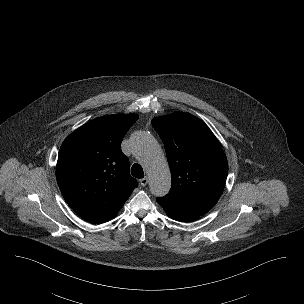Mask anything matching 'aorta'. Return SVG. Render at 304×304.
<instances>
[{
	"label": "aorta",
	"instance_id": "762f6f07",
	"mask_svg": "<svg viewBox=\"0 0 304 304\" xmlns=\"http://www.w3.org/2000/svg\"><path fill=\"white\" fill-rule=\"evenodd\" d=\"M132 150L149 174L151 193L157 197L165 196L171 188V174L157 141L147 132H138L132 138Z\"/></svg>",
	"mask_w": 304,
	"mask_h": 304
}]
</instances>
